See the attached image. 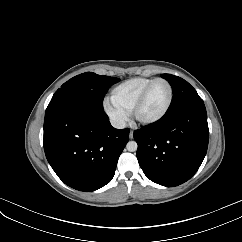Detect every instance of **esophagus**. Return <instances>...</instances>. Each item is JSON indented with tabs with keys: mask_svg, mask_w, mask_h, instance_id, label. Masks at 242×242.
<instances>
[{
	"mask_svg": "<svg viewBox=\"0 0 242 242\" xmlns=\"http://www.w3.org/2000/svg\"><path fill=\"white\" fill-rule=\"evenodd\" d=\"M129 137L132 139L133 138V131H130Z\"/></svg>",
	"mask_w": 242,
	"mask_h": 242,
	"instance_id": "obj_1",
	"label": "esophagus"
}]
</instances>
